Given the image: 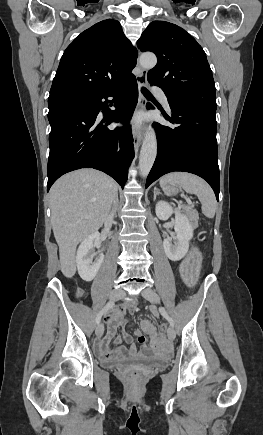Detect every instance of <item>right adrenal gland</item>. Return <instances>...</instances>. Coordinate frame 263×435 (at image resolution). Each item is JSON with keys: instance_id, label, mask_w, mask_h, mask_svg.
<instances>
[{"instance_id": "obj_1", "label": "right adrenal gland", "mask_w": 263, "mask_h": 435, "mask_svg": "<svg viewBox=\"0 0 263 435\" xmlns=\"http://www.w3.org/2000/svg\"><path fill=\"white\" fill-rule=\"evenodd\" d=\"M117 204H118V197H117V201H116V204H115V205L117 206ZM116 206H115V207H116Z\"/></svg>"}]
</instances>
